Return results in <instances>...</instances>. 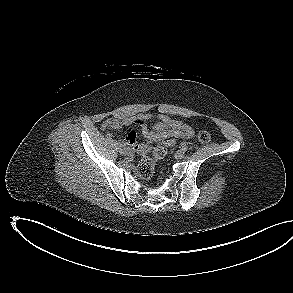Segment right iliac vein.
Returning <instances> with one entry per match:
<instances>
[{
  "mask_svg": "<svg viewBox=\"0 0 293 293\" xmlns=\"http://www.w3.org/2000/svg\"><path fill=\"white\" fill-rule=\"evenodd\" d=\"M118 151L120 154H124V155L127 154V149L123 146H119Z\"/></svg>",
  "mask_w": 293,
  "mask_h": 293,
  "instance_id": "right-iliac-vein-1",
  "label": "right iliac vein"
}]
</instances>
